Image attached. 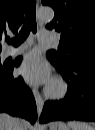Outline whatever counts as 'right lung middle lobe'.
<instances>
[{"mask_svg": "<svg viewBox=\"0 0 95 130\" xmlns=\"http://www.w3.org/2000/svg\"><path fill=\"white\" fill-rule=\"evenodd\" d=\"M5 67H3L1 64H0V70H4Z\"/></svg>", "mask_w": 95, "mask_h": 130, "instance_id": "dd1d6c3e", "label": "right lung middle lobe"}]
</instances>
